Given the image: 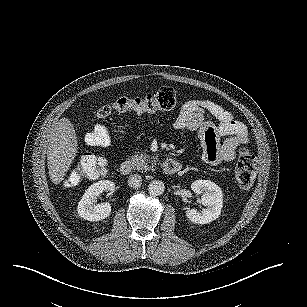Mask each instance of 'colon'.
Masks as SVG:
<instances>
[{"label":"colon","mask_w":307,"mask_h":307,"mask_svg":"<svg viewBox=\"0 0 307 307\" xmlns=\"http://www.w3.org/2000/svg\"><path fill=\"white\" fill-rule=\"evenodd\" d=\"M177 95L173 88L163 87L143 97L120 96L114 101L101 106L97 111L100 118L112 112L135 110L153 112L171 110L177 105ZM87 143L91 146L106 147L111 143L108 129L103 125L95 126L87 135ZM104 158L93 154L83 155L71 168L64 179L66 186H75L87 179L94 178L106 170ZM236 180L242 189H250L256 178V163L249 147L240 148L235 169Z\"/></svg>","instance_id":"1"}]
</instances>
